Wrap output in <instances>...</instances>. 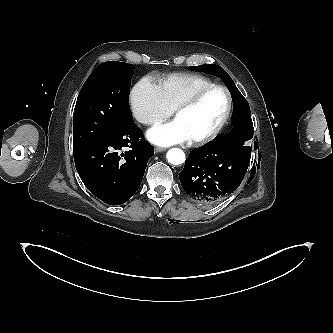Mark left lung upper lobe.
I'll return each instance as SVG.
<instances>
[{"label": "left lung upper lobe", "instance_id": "obj_1", "mask_svg": "<svg viewBox=\"0 0 333 333\" xmlns=\"http://www.w3.org/2000/svg\"><path fill=\"white\" fill-rule=\"evenodd\" d=\"M188 69L192 70V71L210 73V74H214V75L218 76L219 78H221L223 80V82L225 83V85L229 89V91L232 95L233 102L240 101V102L245 103L246 105L248 104L246 99L242 96L240 91L235 86L231 77L227 74V72L222 67H220L218 65H215V64H206V65H199V66H191ZM233 135H238V134H234L233 131H231L229 134L220 135L217 138V140L225 138V137H232ZM246 140H248L247 137L244 139V141H246ZM244 141L241 144L240 148L246 155L250 156L251 155V147L243 146Z\"/></svg>", "mask_w": 333, "mask_h": 333}]
</instances>
